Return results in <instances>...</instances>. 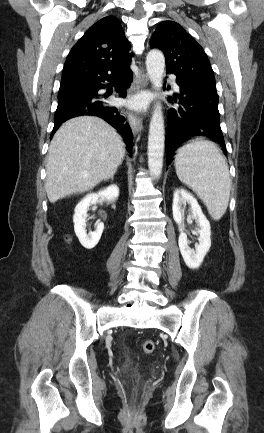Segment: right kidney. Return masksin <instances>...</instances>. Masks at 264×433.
<instances>
[{"label": "right kidney", "instance_id": "ca27d5eb", "mask_svg": "<svg viewBox=\"0 0 264 433\" xmlns=\"http://www.w3.org/2000/svg\"><path fill=\"white\" fill-rule=\"evenodd\" d=\"M119 196V188L117 185H110L104 190L98 193H91L86 195L75 207V214L73 216L74 230L78 237L81 245L87 249L94 248L99 242L103 229L104 223L97 221L96 230L87 233L86 231V218L89 207L95 205L101 198L107 201H114Z\"/></svg>", "mask_w": 264, "mask_h": 433}]
</instances>
